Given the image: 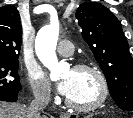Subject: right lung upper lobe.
<instances>
[{
  "mask_svg": "<svg viewBox=\"0 0 133 118\" xmlns=\"http://www.w3.org/2000/svg\"><path fill=\"white\" fill-rule=\"evenodd\" d=\"M22 28L16 7L0 8V60L18 61L21 48Z\"/></svg>",
  "mask_w": 133,
  "mask_h": 118,
  "instance_id": "cb5924a9",
  "label": "right lung upper lobe"
}]
</instances>
